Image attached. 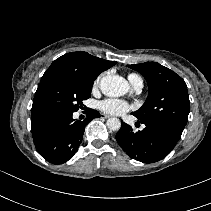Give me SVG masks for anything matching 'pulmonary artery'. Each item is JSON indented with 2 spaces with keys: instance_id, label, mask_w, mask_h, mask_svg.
I'll return each instance as SVG.
<instances>
[{
  "instance_id": "1",
  "label": "pulmonary artery",
  "mask_w": 211,
  "mask_h": 211,
  "mask_svg": "<svg viewBox=\"0 0 211 211\" xmlns=\"http://www.w3.org/2000/svg\"><path fill=\"white\" fill-rule=\"evenodd\" d=\"M134 88L136 91H141L142 87H143V82L142 81H138L136 83L133 84Z\"/></svg>"
}]
</instances>
